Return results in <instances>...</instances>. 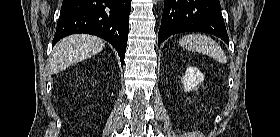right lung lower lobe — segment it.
<instances>
[{
  "label": "right lung lower lobe",
  "mask_w": 280,
  "mask_h": 137,
  "mask_svg": "<svg viewBox=\"0 0 280 137\" xmlns=\"http://www.w3.org/2000/svg\"><path fill=\"white\" fill-rule=\"evenodd\" d=\"M130 11L131 0H63L52 44L75 33L96 35L113 45L123 66Z\"/></svg>",
  "instance_id": "obj_1"
}]
</instances>
